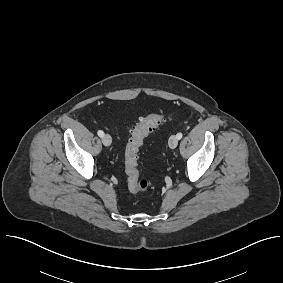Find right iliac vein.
<instances>
[{"label":"right iliac vein","mask_w":283,"mask_h":283,"mask_svg":"<svg viewBox=\"0 0 283 283\" xmlns=\"http://www.w3.org/2000/svg\"><path fill=\"white\" fill-rule=\"evenodd\" d=\"M102 142L105 146H110L111 143H112V138L109 134H105L103 137H102Z\"/></svg>","instance_id":"right-iliac-vein-1"}]
</instances>
